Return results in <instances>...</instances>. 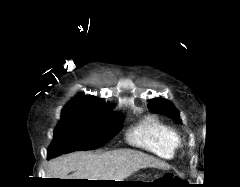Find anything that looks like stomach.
<instances>
[{
    "mask_svg": "<svg viewBox=\"0 0 240 187\" xmlns=\"http://www.w3.org/2000/svg\"><path fill=\"white\" fill-rule=\"evenodd\" d=\"M127 181H129V180H127ZM116 186L131 187V186H137V185H134L133 183H120V184H116Z\"/></svg>",
    "mask_w": 240,
    "mask_h": 187,
    "instance_id": "1",
    "label": "stomach"
}]
</instances>
